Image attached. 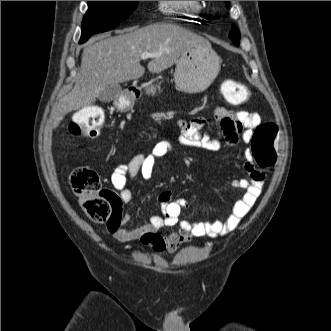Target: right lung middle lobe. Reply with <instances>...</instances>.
<instances>
[{"mask_svg": "<svg viewBox=\"0 0 331 331\" xmlns=\"http://www.w3.org/2000/svg\"><path fill=\"white\" fill-rule=\"evenodd\" d=\"M138 1H89L88 11L82 22L80 43L97 32H105L116 27L137 7Z\"/></svg>", "mask_w": 331, "mask_h": 331, "instance_id": "right-lung-middle-lobe-1", "label": "right lung middle lobe"}]
</instances>
